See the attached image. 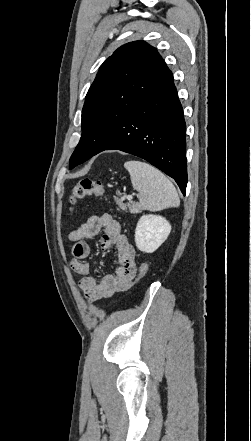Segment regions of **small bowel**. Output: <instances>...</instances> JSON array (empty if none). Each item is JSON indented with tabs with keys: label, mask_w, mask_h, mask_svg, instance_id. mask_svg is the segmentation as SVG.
<instances>
[{
	"label": "small bowel",
	"mask_w": 251,
	"mask_h": 441,
	"mask_svg": "<svg viewBox=\"0 0 251 441\" xmlns=\"http://www.w3.org/2000/svg\"><path fill=\"white\" fill-rule=\"evenodd\" d=\"M101 230L104 231L101 248H115L117 263L115 274L105 275L98 280L91 274V265L86 261L91 254L87 240L95 237ZM68 239L74 243L70 267L81 275L78 285L89 302L109 298L116 292L129 288L136 273L135 250L112 215H90L84 223L69 233Z\"/></svg>",
	"instance_id": "c3829d8e"
}]
</instances>
